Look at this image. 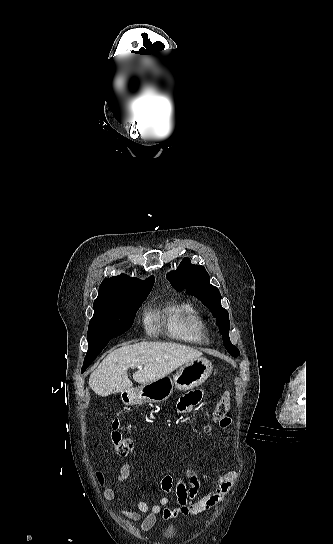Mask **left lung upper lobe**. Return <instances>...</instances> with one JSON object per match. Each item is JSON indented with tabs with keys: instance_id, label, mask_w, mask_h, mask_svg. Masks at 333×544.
Returning <instances> with one entry per match:
<instances>
[{
	"instance_id": "1",
	"label": "left lung upper lobe",
	"mask_w": 333,
	"mask_h": 544,
	"mask_svg": "<svg viewBox=\"0 0 333 544\" xmlns=\"http://www.w3.org/2000/svg\"><path fill=\"white\" fill-rule=\"evenodd\" d=\"M167 279L178 291L183 289L187 293L196 296L204 305L210 308L217 318V324L222 333L227 351L234 357L239 355V350L229 339V316L226 309L221 306V295L217 287L212 286L210 277L203 266L193 265L190 259L184 258L176 271L167 274Z\"/></svg>"
}]
</instances>
